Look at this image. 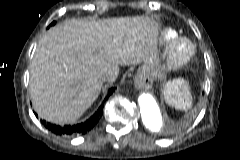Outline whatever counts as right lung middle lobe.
<instances>
[{"label": "right lung middle lobe", "mask_w": 240, "mask_h": 160, "mask_svg": "<svg viewBox=\"0 0 240 160\" xmlns=\"http://www.w3.org/2000/svg\"><path fill=\"white\" fill-rule=\"evenodd\" d=\"M55 24V22H53L51 25H54Z\"/></svg>", "instance_id": "1"}]
</instances>
